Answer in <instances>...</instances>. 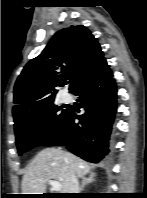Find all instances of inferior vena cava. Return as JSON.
<instances>
[{
    "label": "inferior vena cava",
    "instance_id": "1",
    "mask_svg": "<svg viewBox=\"0 0 147 198\" xmlns=\"http://www.w3.org/2000/svg\"><path fill=\"white\" fill-rule=\"evenodd\" d=\"M79 184L77 176L71 172L69 176V191L68 193H79Z\"/></svg>",
    "mask_w": 147,
    "mask_h": 198
}]
</instances>
